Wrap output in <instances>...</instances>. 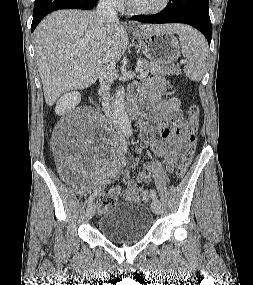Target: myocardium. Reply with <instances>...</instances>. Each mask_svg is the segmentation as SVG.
Instances as JSON below:
<instances>
[{
	"instance_id": "myocardium-1",
	"label": "myocardium",
	"mask_w": 253,
	"mask_h": 285,
	"mask_svg": "<svg viewBox=\"0 0 253 285\" xmlns=\"http://www.w3.org/2000/svg\"><path fill=\"white\" fill-rule=\"evenodd\" d=\"M171 3V0H163L161 5L155 8H138L132 5L130 0H127V6L128 9L135 13V14H140V15H153V14H158L162 11H164Z\"/></svg>"
}]
</instances>
